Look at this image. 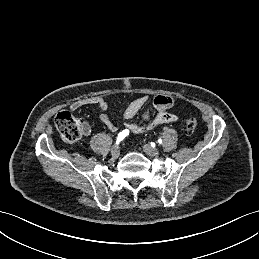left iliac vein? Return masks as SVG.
<instances>
[{"mask_svg":"<svg viewBox=\"0 0 259 259\" xmlns=\"http://www.w3.org/2000/svg\"><path fill=\"white\" fill-rule=\"evenodd\" d=\"M142 148H143V151L149 156L159 155V150L155 147L150 146L149 144H144Z\"/></svg>","mask_w":259,"mask_h":259,"instance_id":"4c4485c4","label":"left iliac vein"}]
</instances>
